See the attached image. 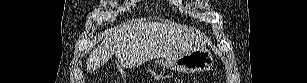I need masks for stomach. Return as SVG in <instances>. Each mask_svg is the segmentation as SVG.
Listing matches in <instances>:
<instances>
[{
    "instance_id": "obj_1",
    "label": "stomach",
    "mask_w": 307,
    "mask_h": 83,
    "mask_svg": "<svg viewBox=\"0 0 307 83\" xmlns=\"http://www.w3.org/2000/svg\"><path fill=\"white\" fill-rule=\"evenodd\" d=\"M156 65L182 73H200L209 70L213 64L211 52L204 46H195L176 57L157 58Z\"/></svg>"
}]
</instances>
